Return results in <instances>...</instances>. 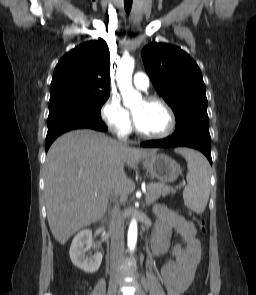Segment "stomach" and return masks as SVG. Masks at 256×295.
I'll use <instances>...</instances> for the list:
<instances>
[{
    "mask_svg": "<svg viewBox=\"0 0 256 295\" xmlns=\"http://www.w3.org/2000/svg\"><path fill=\"white\" fill-rule=\"evenodd\" d=\"M145 169L161 183L175 181L180 172V165L163 153H155L142 161Z\"/></svg>",
    "mask_w": 256,
    "mask_h": 295,
    "instance_id": "obj_1",
    "label": "stomach"
}]
</instances>
